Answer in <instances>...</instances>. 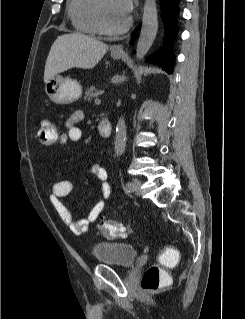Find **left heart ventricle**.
<instances>
[{
	"label": "left heart ventricle",
	"instance_id": "obj_1",
	"mask_svg": "<svg viewBox=\"0 0 245 319\" xmlns=\"http://www.w3.org/2000/svg\"><path fill=\"white\" fill-rule=\"evenodd\" d=\"M103 11L105 21L110 27H119L127 20L118 12L114 0H103Z\"/></svg>",
	"mask_w": 245,
	"mask_h": 319
}]
</instances>
